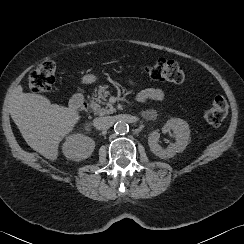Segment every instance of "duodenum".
Listing matches in <instances>:
<instances>
[{
	"label": "duodenum",
	"mask_w": 244,
	"mask_h": 244,
	"mask_svg": "<svg viewBox=\"0 0 244 244\" xmlns=\"http://www.w3.org/2000/svg\"><path fill=\"white\" fill-rule=\"evenodd\" d=\"M69 107L72 110H78L85 107L88 108L89 104L85 102L83 94L81 92H77L71 97L69 101Z\"/></svg>",
	"instance_id": "duodenum-1"
}]
</instances>
